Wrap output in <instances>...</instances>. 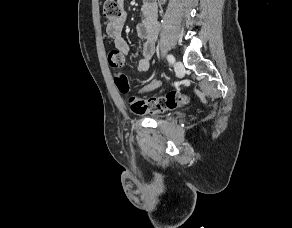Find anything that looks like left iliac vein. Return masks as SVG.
Masks as SVG:
<instances>
[{"label":"left iliac vein","instance_id":"obj_1","mask_svg":"<svg viewBox=\"0 0 292 228\" xmlns=\"http://www.w3.org/2000/svg\"><path fill=\"white\" fill-rule=\"evenodd\" d=\"M175 72L179 77H183L185 75V67L182 62L177 61L174 64Z\"/></svg>","mask_w":292,"mask_h":228}]
</instances>
